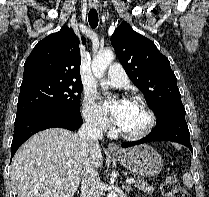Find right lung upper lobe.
<instances>
[{
	"label": "right lung upper lobe",
	"mask_w": 209,
	"mask_h": 197,
	"mask_svg": "<svg viewBox=\"0 0 209 197\" xmlns=\"http://www.w3.org/2000/svg\"><path fill=\"white\" fill-rule=\"evenodd\" d=\"M80 60L79 39L64 26L34 47L24 64L22 84L44 79L81 82Z\"/></svg>",
	"instance_id": "right-lung-upper-lobe-1"
}]
</instances>
